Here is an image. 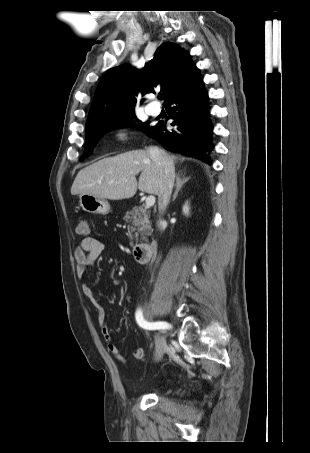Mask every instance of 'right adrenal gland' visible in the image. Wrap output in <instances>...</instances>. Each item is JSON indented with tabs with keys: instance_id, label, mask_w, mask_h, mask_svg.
Wrapping results in <instances>:
<instances>
[{
	"instance_id": "right-adrenal-gland-1",
	"label": "right adrenal gland",
	"mask_w": 310,
	"mask_h": 453,
	"mask_svg": "<svg viewBox=\"0 0 310 453\" xmlns=\"http://www.w3.org/2000/svg\"><path fill=\"white\" fill-rule=\"evenodd\" d=\"M181 175L182 173H178L177 176H176V189H175V192L173 194V197H172V201L174 202L177 198V195H178V192L181 190V188L183 187V185L189 181L190 177H183L181 178Z\"/></svg>"
}]
</instances>
